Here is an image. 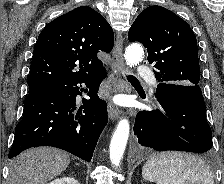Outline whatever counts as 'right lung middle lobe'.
Instances as JSON below:
<instances>
[{"instance_id":"1","label":"right lung middle lobe","mask_w":224,"mask_h":184,"mask_svg":"<svg viewBox=\"0 0 224 184\" xmlns=\"http://www.w3.org/2000/svg\"><path fill=\"white\" fill-rule=\"evenodd\" d=\"M36 89H39V88H29V92H30V91H34V90H36Z\"/></svg>"}]
</instances>
